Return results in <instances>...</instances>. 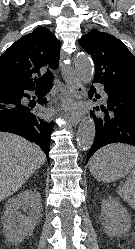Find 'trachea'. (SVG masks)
I'll return each instance as SVG.
<instances>
[{"label":"trachea","instance_id":"1","mask_svg":"<svg viewBox=\"0 0 135 249\" xmlns=\"http://www.w3.org/2000/svg\"><path fill=\"white\" fill-rule=\"evenodd\" d=\"M53 74L51 71H47L39 80L37 81V88L39 89H51L53 84Z\"/></svg>","mask_w":135,"mask_h":249}]
</instances>
